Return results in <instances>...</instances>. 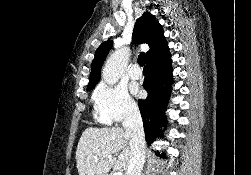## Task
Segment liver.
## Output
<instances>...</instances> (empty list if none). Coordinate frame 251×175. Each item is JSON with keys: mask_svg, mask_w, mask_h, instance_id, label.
Masks as SVG:
<instances>
[{"mask_svg": "<svg viewBox=\"0 0 251 175\" xmlns=\"http://www.w3.org/2000/svg\"><path fill=\"white\" fill-rule=\"evenodd\" d=\"M129 139L130 135L123 127H87L76 149L79 175H105L111 167L128 169L131 155ZM118 151L121 153L115 157Z\"/></svg>", "mask_w": 251, "mask_h": 175, "instance_id": "obj_1", "label": "liver"}]
</instances>
